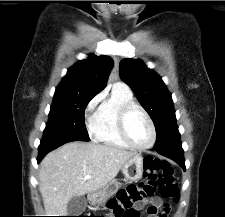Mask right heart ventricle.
<instances>
[{
	"instance_id": "1",
	"label": "right heart ventricle",
	"mask_w": 225,
	"mask_h": 217,
	"mask_svg": "<svg viewBox=\"0 0 225 217\" xmlns=\"http://www.w3.org/2000/svg\"><path fill=\"white\" fill-rule=\"evenodd\" d=\"M130 89L114 85L111 95L100 105L97 112L96 139L107 147L128 149L118 130V112L122 105L133 102Z\"/></svg>"
}]
</instances>
